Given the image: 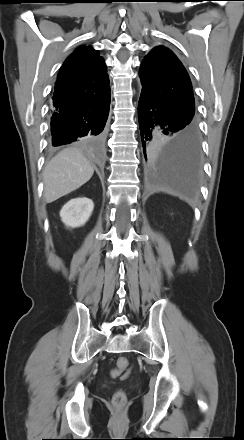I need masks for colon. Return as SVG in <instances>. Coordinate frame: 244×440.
Here are the masks:
<instances>
[{"instance_id": "1", "label": "colon", "mask_w": 244, "mask_h": 440, "mask_svg": "<svg viewBox=\"0 0 244 440\" xmlns=\"http://www.w3.org/2000/svg\"><path fill=\"white\" fill-rule=\"evenodd\" d=\"M129 367V361L125 357H120L117 360V367L112 371L113 376H118L125 372ZM112 402L116 407H121L126 402V394L122 390H117L112 398Z\"/></svg>"}]
</instances>
